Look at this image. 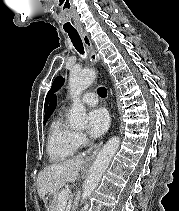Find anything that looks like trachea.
I'll list each match as a JSON object with an SVG mask.
<instances>
[{
  "instance_id": "trachea-1",
  "label": "trachea",
  "mask_w": 179,
  "mask_h": 211,
  "mask_svg": "<svg viewBox=\"0 0 179 211\" xmlns=\"http://www.w3.org/2000/svg\"><path fill=\"white\" fill-rule=\"evenodd\" d=\"M73 43V46L75 47V49L80 53V54H84V47H83V43L82 40L78 34L77 31H66ZM98 93L101 97L105 98L107 96V90L105 87H100L98 90Z\"/></svg>"
}]
</instances>
